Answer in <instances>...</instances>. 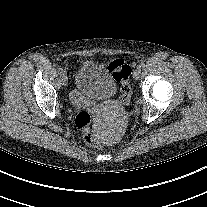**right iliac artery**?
Listing matches in <instances>:
<instances>
[{
  "label": "right iliac artery",
  "instance_id": "obj_1",
  "mask_svg": "<svg viewBox=\"0 0 207 207\" xmlns=\"http://www.w3.org/2000/svg\"><path fill=\"white\" fill-rule=\"evenodd\" d=\"M58 73H59L60 75H64V74H65V71H64L62 68H59V69H58Z\"/></svg>",
  "mask_w": 207,
  "mask_h": 207
}]
</instances>
